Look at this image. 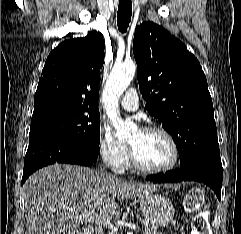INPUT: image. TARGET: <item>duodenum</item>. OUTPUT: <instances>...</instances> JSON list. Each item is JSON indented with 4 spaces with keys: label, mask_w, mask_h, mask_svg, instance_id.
<instances>
[{
    "label": "duodenum",
    "mask_w": 241,
    "mask_h": 234,
    "mask_svg": "<svg viewBox=\"0 0 241 234\" xmlns=\"http://www.w3.org/2000/svg\"><path fill=\"white\" fill-rule=\"evenodd\" d=\"M83 234H93V230L90 228H87Z\"/></svg>",
    "instance_id": "1"
}]
</instances>
